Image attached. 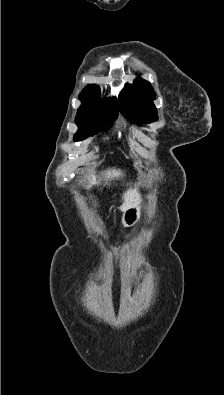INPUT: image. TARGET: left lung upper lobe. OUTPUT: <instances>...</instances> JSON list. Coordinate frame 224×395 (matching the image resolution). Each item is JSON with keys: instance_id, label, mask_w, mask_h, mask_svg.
Returning a JSON list of instances; mask_svg holds the SVG:
<instances>
[{"instance_id": "5c2ea615", "label": "left lung upper lobe", "mask_w": 224, "mask_h": 395, "mask_svg": "<svg viewBox=\"0 0 224 395\" xmlns=\"http://www.w3.org/2000/svg\"><path fill=\"white\" fill-rule=\"evenodd\" d=\"M154 99L155 93L150 83L137 79L132 85H125L119 96V109L134 123H151L158 118L156 107L152 103Z\"/></svg>"}]
</instances>
